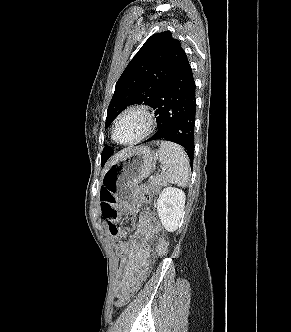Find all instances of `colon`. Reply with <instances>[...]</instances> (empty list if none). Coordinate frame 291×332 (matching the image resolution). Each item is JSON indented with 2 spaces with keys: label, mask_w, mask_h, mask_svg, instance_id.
Masks as SVG:
<instances>
[{
  "label": "colon",
  "mask_w": 291,
  "mask_h": 332,
  "mask_svg": "<svg viewBox=\"0 0 291 332\" xmlns=\"http://www.w3.org/2000/svg\"><path fill=\"white\" fill-rule=\"evenodd\" d=\"M141 191L144 201L149 202L152 196L157 192V187L151 183H146L141 186ZM100 206L102 217L106 221L111 235L115 238H123L126 235V231L123 230L118 224L120 213L117 209L113 194L108 190L101 191ZM147 270L148 266L140 272L132 285L122 292L117 300V306L122 307L131 301L139 290L141 283L146 276Z\"/></svg>",
  "instance_id": "1"
}]
</instances>
